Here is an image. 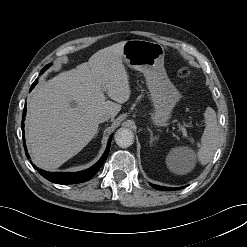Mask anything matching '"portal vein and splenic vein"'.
Segmentation results:
<instances>
[{"instance_id": "portal-vein-and-splenic-vein-1", "label": "portal vein and splenic vein", "mask_w": 247, "mask_h": 247, "mask_svg": "<svg viewBox=\"0 0 247 247\" xmlns=\"http://www.w3.org/2000/svg\"><path fill=\"white\" fill-rule=\"evenodd\" d=\"M180 129L182 130V132L185 134L186 133V129L184 126L180 125Z\"/></svg>"}]
</instances>
